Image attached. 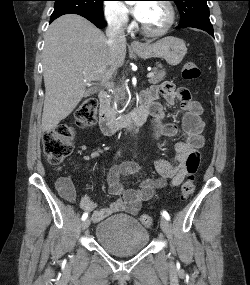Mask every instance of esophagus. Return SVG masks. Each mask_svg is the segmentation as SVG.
<instances>
[{
	"instance_id": "obj_1",
	"label": "esophagus",
	"mask_w": 250,
	"mask_h": 285,
	"mask_svg": "<svg viewBox=\"0 0 250 285\" xmlns=\"http://www.w3.org/2000/svg\"><path fill=\"white\" fill-rule=\"evenodd\" d=\"M131 48L134 50L142 49L143 45L139 41H132Z\"/></svg>"
}]
</instances>
